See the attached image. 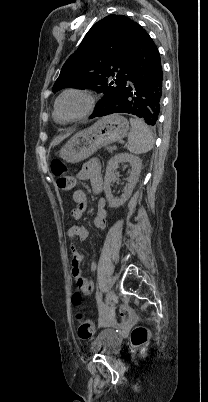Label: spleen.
Wrapping results in <instances>:
<instances>
[{"mask_svg": "<svg viewBox=\"0 0 208 402\" xmlns=\"http://www.w3.org/2000/svg\"><path fill=\"white\" fill-rule=\"evenodd\" d=\"M132 130L128 136V150L131 154H146L154 146V138L143 120L130 118Z\"/></svg>", "mask_w": 208, "mask_h": 402, "instance_id": "obj_1", "label": "spleen"}]
</instances>
